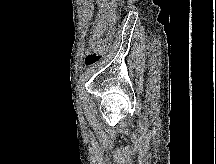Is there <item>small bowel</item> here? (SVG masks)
I'll use <instances>...</instances> for the list:
<instances>
[{
  "mask_svg": "<svg viewBox=\"0 0 216 164\" xmlns=\"http://www.w3.org/2000/svg\"><path fill=\"white\" fill-rule=\"evenodd\" d=\"M116 2L117 0H98L93 32L102 31L106 27Z\"/></svg>",
  "mask_w": 216,
  "mask_h": 164,
  "instance_id": "c3829d8e",
  "label": "small bowel"
}]
</instances>
